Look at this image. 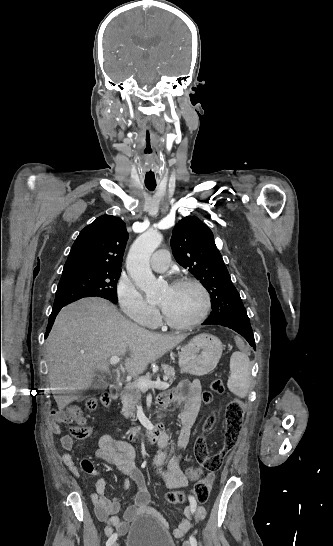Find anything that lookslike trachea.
Segmentation results:
<instances>
[{
	"mask_svg": "<svg viewBox=\"0 0 333 546\" xmlns=\"http://www.w3.org/2000/svg\"><path fill=\"white\" fill-rule=\"evenodd\" d=\"M147 174L151 175L152 177H155L154 172H152V171L148 172ZM145 186L150 191H153L156 188V184L145 183Z\"/></svg>",
	"mask_w": 333,
	"mask_h": 546,
	"instance_id": "trachea-1",
	"label": "trachea"
}]
</instances>
